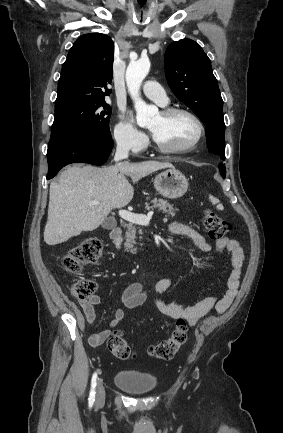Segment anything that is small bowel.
<instances>
[{
	"label": "small bowel",
	"instance_id": "small-bowel-1",
	"mask_svg": "<svg viewBox=\"0 0 283 433\" xmlns=\"http://www.w3.org/2000/svg\"><path fill=\"white\" fill-rule=\"evenodd\" d=\"M169 231L172 234L183 235L190 238L195 246L203 251L208 252L212 249L211 244L206 238L194 228L179 221H173L169 224ZM215 249L219 253H228L231 260V272L227 280V289L219 297H207L191 306H183L177 302H170L162 299L161 294L168 291L173 283V278L165 277L158 280L154 286L155 295L152 298L154 306L162 314L172 319H184L189 325H195L199 318L214 309L217 314L224 313L235 297L237 296L240 279L243 273L244 251L240 243L235 239L223 238L216 242ZM148 300V294L140 282L129 284L121 293V307H118L113 314L108 326L99 333H94L89 337V343L93 347L102 345L110 336L112 329L123 320L126 309H133L143 305ZM101 298L98 294L93 293L89 298L78 300L82 310L77 312L76 318L80 325L87 322L94 325L96 320L95 308L100 304Z\"/></svg>",
	"mask_w": 283,
	"mask_h": 433
}]
</instances>
